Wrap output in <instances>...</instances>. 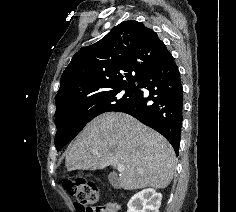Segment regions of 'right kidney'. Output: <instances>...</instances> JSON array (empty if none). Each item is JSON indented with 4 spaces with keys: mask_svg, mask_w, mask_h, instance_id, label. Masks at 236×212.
Wrapping results in <instances>:
<instances>
[{
    "mask_svg": "<svg viewBox=\"0 0 236 212\" xmlns=\"http://www.w3.org/2000/svg\"><path fill=\"white\" fill-rule=\"evenodd\" d=\"M162 195L148 188L136 193L129 200L127 212H159Z\"/></svg>",
    "mask_w": 236,
    "mask_h": 212,
    "instance_id": "obj_1",
    "label": "right kidney"
}]
</instances>
